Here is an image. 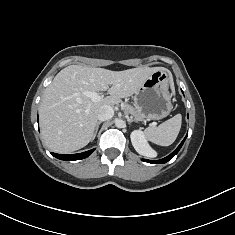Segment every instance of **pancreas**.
<instances>
[{
	"label": "pancreas",
	"instance_id": "obj_1",
	"mask_svg": "<svg viewBox=\"0 0 235 235\" xmlns=\"http://www.w3.org/2000/svg\"><path fill=\"white\" fill-rule=\"evenodd\" d=\"M124 109L126 113L132 115L134 121H142L144 119V115L138 112L137 110L133 109V107L126 105Z\"/></svg>",
	"mask_w": 235,
	"mask_h": 235
}]
</instances>
